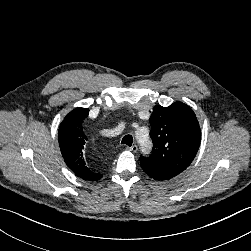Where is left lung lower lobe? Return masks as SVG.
I'll return each instance as SVG.
<instances>
[{
    "instance_id": "left-lung-lower-lobe-1",
    "label": "left lung lower lobe",
    "mask_w": 251,
    "mask_h": 251,
    "mask_svg": "<svg viewBox=\"0 0 251 251\" xmlns=\"http://www.w3.org/2000/svg\"><path fill=\"white\" fill-rule=\"evenodd\" d=\"M141 167L147 175L154 178L155 180H169L178 175L172 172L156 170L144 164H141Z\"/></svg>"
}]
</instances>
